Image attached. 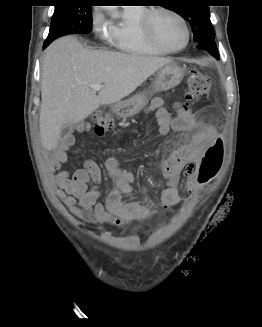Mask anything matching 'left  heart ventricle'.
Masks as SVG:
<instances>
[{
    "mask_svg": "<svg viewBox=\"0 0 262 327\" xmlns=\"http://www.w3.org/2000/svg\"><path fill=\"white\" fill-rule=\"evenodd\" d=\"M153 26L158 39L169 48H179L186 40V30L175 16L159 12L155 14Z\"/></svg>",
    "mask_w": 262,
    "mask_h": 327,
    "instance_id": "1",
    "label": "left heart ventricle"
}]
</instances>
